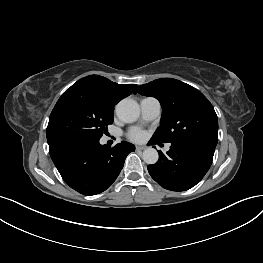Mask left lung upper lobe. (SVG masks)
Wrapping results in <instances>:
<instances>
[{
	"label": "left lung upper lobe",
	"instance_id": "1",
	"mask_svg": "<svg viewBox=\"0 0 263 263\" xmlns=\"http://www.w3.org/2000/svg\"><path fill=\"white\" fill-rule=\"evenodd\" d=\"M162 106L161 125L151 139L157 142H198L216 146L218 119L213 106L196 88L172 78H162L137 87Z\"/></svg>",
	"mask_w": 263,
	"mask_h": 263
}]
</instances>
